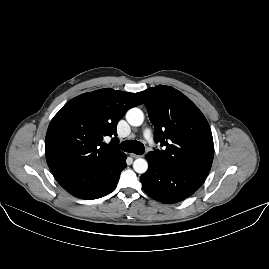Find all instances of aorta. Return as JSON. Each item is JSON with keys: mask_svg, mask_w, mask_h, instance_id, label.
<instances>
[{"mask_svg": "<svg viewBox=\"0 0 269 269\" xmlns=\"http://www.w3.org/2000/svg\"><path fill=\"white\" fill-rule=\"evenodd\" d=\"M126 120L132 126H140L144 121V114L139 108H131L126 113ZM135 172L143 174L148 169V163L143 158H138L133 163Z\"/></svg>", "mask_w": 269, "mask_h": 269, "instance_id": "1", "label": "aorta"}]
</instances>
